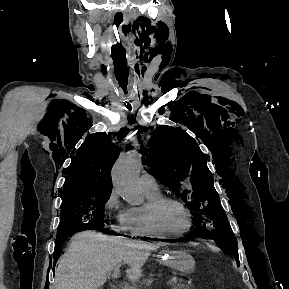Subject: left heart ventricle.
Wrapping results in <instances>:
<instances>
[{
	"label": "left heart ventricle",
	"instance_id": "obj_1",
	"mask_svg": "<svg viewBox=\"0 0 289 289\" xmlns=\"http://www.w3.org/2000/svg\"><path fill=\"white\" fill-rule=\"evenodd\" d=\"M160 226L169 232L182 231L188 224L186 212L177 204L167 203L158 212Z\"/></svg>",
	"mask_w": 289,
	"mask_h": 289
}]
</instances>
